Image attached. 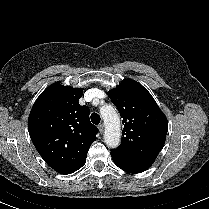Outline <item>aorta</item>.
Instances as JSON below:
<instances>
[{
	"label": "aorta",
	"instance_id": "aorta-1",
	"mask_svg": "<svg viewBox=\"0 0 209 209\" xmlns=\"http://www.w3.org/2000/svg\"><path fill=\"white\" fill-rule=\"evenodd\" d=\"M100 113L105 124L104 142L109 148H117L121 140L120 117L111 105L103 106Z\"/></svg>",
	"mask_w": 209,
	"mask_h": 209
}]
</instances>
